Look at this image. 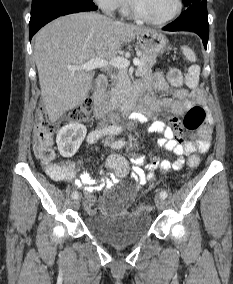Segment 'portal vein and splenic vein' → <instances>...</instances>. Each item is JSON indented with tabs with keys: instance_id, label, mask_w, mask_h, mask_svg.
Wrapping results in <instances>:
<instances>
[{
	"instance_id": "obj_1",
	"label": "portal vein and splenic vein",
	"mask_w": 233,
	"mask_h": 284,
	"mask_svg": "<svg viewBox=\"0 0 233 284\" xmlns=\"http://www.w3.org/2000/svg\"><path fill=\"white\" fill-rule=\"evenodd\" d=\"M140 63L141 61L138 58H135L133 60L134 65H139ZM107 65H112L113 67L125 69L130 65V62L123 57H115L109 61L105 59L95 58L81 65H76V66L69 65L68 69L71 71H79V70L91 71L96 68L106 67Z\"/></svg>"
}]
</instances>
